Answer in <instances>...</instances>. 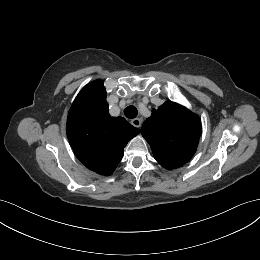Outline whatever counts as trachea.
I'll return each instance as SVG.
<instances>
[{
	"mask_svg": "<svg viewBox=\"0 0 260 260\" xmlns=\"http://www.w3.org/2000/svg\"><path fill=\"white\" fill-rule=\"evenodd\" d=\"M124 114L127 118L133 119L137 116L138 111L135 106L131 105V106L126 107V109L124 110Z\"/></svg>",
	"mask_w": 260,
	"mask_h": 260,
	"instance_id": "obj_1",
	"label": "trachea"
}]
</instances>
